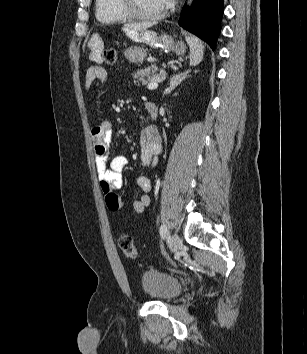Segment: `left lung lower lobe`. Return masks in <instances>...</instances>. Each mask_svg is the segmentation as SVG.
Returning a JSON list of instances; mask_svg holds the SVG:
<instances>
[{"label": "left lung lower lobe", "instance_id": "obj_1", "mask_svg": "<svg viewBox=\"0 0 307 354\" xmlns=\"http://www.w3.org/2000/svg\"><path fill=\"white\" fill-rule=\"evenodd\" d=\"M224 0H194L191 7H184L179 24L192 32L214 50L221 31Z\"/></svg>", "mask_w": 307, "mask_h": 354}]
</instances>
